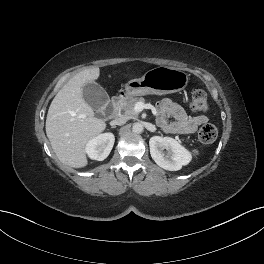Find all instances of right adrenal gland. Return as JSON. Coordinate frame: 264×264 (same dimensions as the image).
<instances>
[{
  "label": "right adrenal gland",
  "mask_w": 264,
  "mask_h": 264,
  "mask_svg": "<svg viewBox=\"0 0 264 264\" xmlns=\"http://www.w3.org/2000/svg\"><path fill=\"white\" fill-rule=\"evenodd\" d=\"M111 128H116V126H112Z\"/></svg>",
  "instance_id": "obj_1"
}]
</instances>
